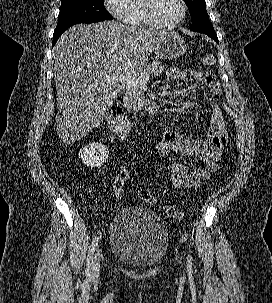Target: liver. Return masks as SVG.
Returning <instances> with one entry per match:
<instances>
[{"label":"liver","mask_w":272,"mask_h":303,"mask_svg":"<svg viewBox=\"0 0 272 303\" xmlns=\"http://www.w3.org/2000/svg\"><path fill=\"white\" fill-rule=\"evenodd\" d=\"M168 32L150 31L116 21L77 24L53 49L58 113L56 131L65 144L97 127L120 91V82L146 66Z\"/></svg>","instance_id":"obj_1"}]
</instances>
